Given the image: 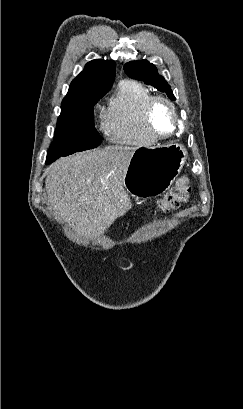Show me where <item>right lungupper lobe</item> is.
<instances>
[{
  "label": "right lung upper lobe",
  "mask_w": 243,
  "mask_h": 409,
  "mask_svg": "<svg viewBox=\"0 0 243 409\" xmlns=\"http://www.w3.org/2000/svg\"><path fill=\"white\" fill-rule=\"evenodd\" d=\"M116 63L113 60L95 59L85 65L70 84L62 106H88L95 104L111 88L115 78Z\"/></svg>",
  "instance_id": "right-lung-upper-lobe-1"
}]
</instances>
